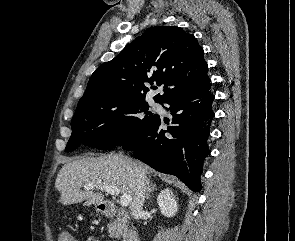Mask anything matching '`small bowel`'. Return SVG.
<instances>
[{"label":"small bowel","instance_id":"1","mask_svg":"<svg viewBox=\"0 0 295 241\" xmlns=\"http://www.w3.org/2000/svg\"><path fill=\"white\" fill-rule=\"evenodd\" d=\"M85 241H98V240L95 237H93V236H86L85 237Z\"/></svg>","mask_w":295,"mask_h":241}]
</instances>
